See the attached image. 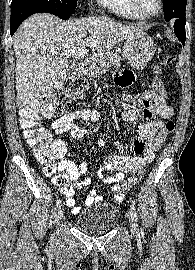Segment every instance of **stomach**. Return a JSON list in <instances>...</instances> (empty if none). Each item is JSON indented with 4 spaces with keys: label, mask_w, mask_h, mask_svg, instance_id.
I'll use <instances>...</instances> for the list:
<instances>
[{
    "label": "stomach",
    "mask_w": 195,
    "mask_h": 270,
    "mask_svg": "<svg viewBox=\"0 0 195 270\" xmlns=\"http://www.w3.org/2000/svg\"><path fill=\"white\" fill-rule=\"evenodd\" d=\"M156 51L153 39L145 32L136 33L125 39L123 54L129 65L143 70Z\"/></svg>",
    "instance_id": "obj_1"
}]
</instances>
